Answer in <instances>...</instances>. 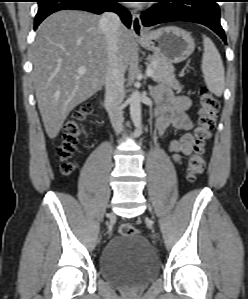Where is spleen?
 <instances>
[{
	"mask_svg": "<svg viewBox=\"0 0 248 299\" xmlns=\"http://www.w3.org/2000/svg\"><path fill=\"white\" fill-rule=\"evenodd\" d=\"M204 52L201 69L209 90L220 97L225 88L224 66L212 40L203 35Z\"/></svg>",
	"mask_w": 248,
	"mask_h": 299,
	"instance_id": "1",
	"label": "spleen"
}]
</instances>
